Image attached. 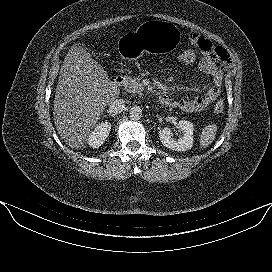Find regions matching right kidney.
I'll list each match as a JSON object with an SVG mask.
<instances>
[{
	"instance_id": "1",
	"label": "right kidney",
	"mask_w": 272,
	"mask_h": 272,
	"mask_svg": "<svg viewBox=\"0 0 272 272\" xmlns=\"http://www.w3.org/2000/svg\"><path fill=\"white\" fill-rule=\"evenodd\" d=\"M111 124L109 122H102L98 124L94 131L89 134L88 144L92 148H99L109 136Z\"/></svg>"
}]
</instances>
